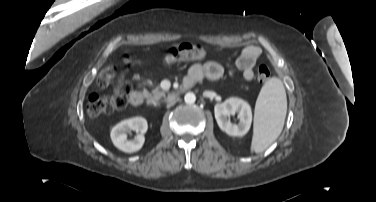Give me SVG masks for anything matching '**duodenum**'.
Instances as JSON below:
<instances>
[{
  "label": "duodenum",
  "instance_id": "1",
  "mask_svg": "<svg viewBox=\"0 0 376 202\" xmlns=\"http://www.w3.org/2000/svg\"><path fill=\"white\" fill-rule=\"evenodd\" d=\"M189 87H190L189 84L184 83V85L181 87V89L179 90L177 94L178 95L181 94L183 91H185ZM129 100L132 106H135V107L140 106L143 103V95L139 91H133L130 95Z\"/></svg>",
  "mask_w": 376,
  "mask_h": 202
}]
</instances>
